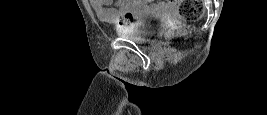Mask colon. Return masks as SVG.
<instances>
[{
  "label": "colon",
  "instance_id": "obj_1",
  "mask_svg": "<svg viewBox=\"0 0 267 115\" xmlns=\"http://www.w3.org/2000/svg\"><path fill=\"white\" fill-rule=\"evenodd\" d=\"M171 2L179 5V13L185 23L169 29L166 32V37L168 38L191 32V23L197 21L203 14V4L200 0H172ZM133 17L134 12L131 8L124 9L121 14L123 21H130Z\"/></svg>",
  "mask_w": 267,
  "mask_h": 115
}]
</instances>
